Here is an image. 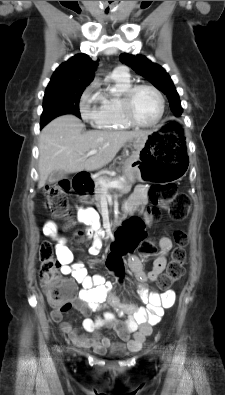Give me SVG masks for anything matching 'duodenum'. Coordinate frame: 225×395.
Instances as JSON below:
<instances>
[{
  "mask_svg": "<svg viewBox=\"0 0 225 395\" xmlns=\"http://www.w3.org/2000/svg\"><path fill=\"white\" fill-rule=\"evenodd\" d=\"M74 187L78 192H87L93 188V181L87 173H77L73 180Z\"/></svg>",
  "mask_w": 225,
  "mask_h": 395,
  "instance_id": "410a0bca",
  "label": "duodenum"
}]
</instances>
